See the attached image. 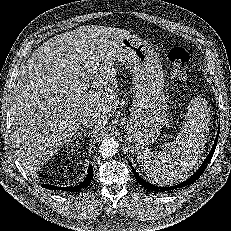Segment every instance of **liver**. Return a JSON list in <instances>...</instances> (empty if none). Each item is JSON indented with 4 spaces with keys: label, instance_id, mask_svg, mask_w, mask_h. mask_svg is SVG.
Instances as JSON below:
<instances>
[{
    "label": "liver",
    "instance_id": "obj_1",
    "mask_svg": "<svg viewBox=\"0 0 231 231\" xmlns=\"http://www.w3.org/2000/svg\"><path fill=\"white\" fill-rule=\"evenodd\" d=\"M130 33L87 25L56 35L28 59L11 97V142L35 171L71 142L84 117L98 133L119 104L116 49ZM89 86L95 90H88Z\"/></svg>",
    "mask_w": 231,
    "mask_h": 231
}]
</instances>
